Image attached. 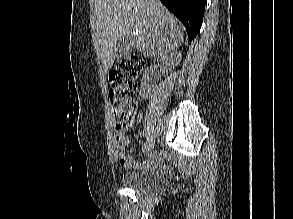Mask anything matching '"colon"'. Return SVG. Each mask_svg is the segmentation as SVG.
<instances>
[{"mask_svg":"<svg viewBox=\"0 0 293 219\" xmlns=\"http://www.w3.org/2000/svg\"><path fill=\"white\" fill-rule=\"evenodd\" d=\"M144 68V60L137 55L119 61L109 73L110 98L117 115V128L130 127L136 118L137 78Z\"/></svg>","mask_w":293,"mask_h":219,"instance_id":"1","label":"colon"}]
</instances>
